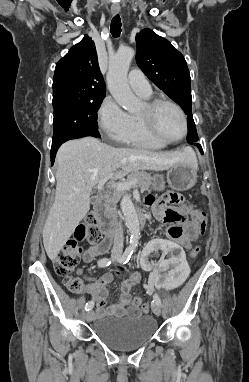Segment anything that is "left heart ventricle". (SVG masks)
I'll return each mask as SVG.
<instances>
[{
	"label": "left heart ventricle",
	"mask_w": 249,
	"mask_h": 382,
	"mask_svg": "<svg viewBox=\"0 0 249 382\" xmlns=\"http://www.w3.org/2000/svg\"><path fill=\"white\" fill-rule=\"evenodd\" d=\"M145 112V105L139 114ZM155 121L160 133L169 138L177 139L183 133V122L179 113L169 105H161L155 114Z\"/></svg>",
	"instance_id": "1"
}]
</instances>
